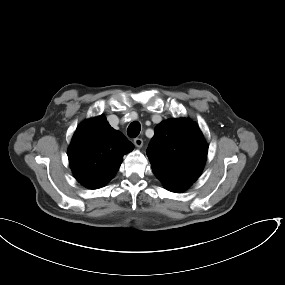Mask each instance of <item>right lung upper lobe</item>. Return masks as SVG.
I'll return each instance as SVG.
<instances>
[{
    "mask_svg": "<svg viewBox=\"0 0 285 285\" xmlns=\"http://www.w3.org/2000/svg\"><path fill=\"white\" fill-rule=\"evenodd\" d=\"M134 145L101 115L82 122L73 136L68 158L77 181L90 189L105 186Z\"/></svg>",
    "mask_w": 285,
    "mask_h": 285,
    "instance_id": "obj_1",
    "label": "right lung upper lobe"
}]
</instances>
